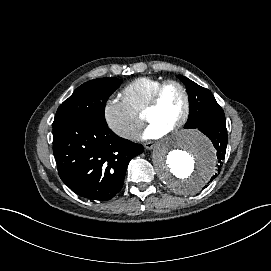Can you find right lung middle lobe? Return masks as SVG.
<instances>
[{
    "instance_id": "right-lung-middle-lobe-1",
    "label": "right lung middle lobe",
    "mask_w": 271,
    "mask_h": 271,
    "mask_svg": "<svg viewBox=\"0 0 271 271\" xmlns=\"http://www.w3.org/2000/svg\"><path fill=\"white\" fill-rule=\"evenodd\" d=\"M121 82L117 78H98L82 84L59 106L53 127L75 119L105 123L106 101Z\"/></svg>"
}]
</instances>
